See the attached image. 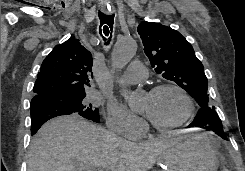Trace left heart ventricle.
<instances>
[{
    "label": "left heart ventricle",
    "mask_w": 245,
    "mask_h": 171,
    "mask_svg": "<svg viewBox=\"0 0 245 171\" xmlns=\"http://www.w3.org/2000/svg\"><path fill=\"white\" fill-rule=\"evenodd\" d=\"M141 106L148 118L160 125L179 121L187 110L184 97L172 89L145 95Z\"/></svg>",
    "instance_id": "1"
}]
</instances>
